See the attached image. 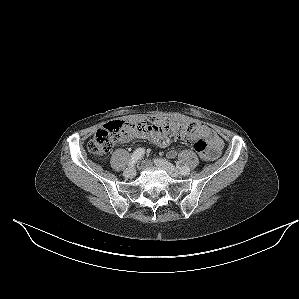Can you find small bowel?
<instances>
[{
	"label": "small bowel",
	"mask_w": 299,
	"mask_h": 299,
	"mask_svg": "<svg viewBox=\"0 0 299 299\" xmlns=\"http://www.w3.org/2000/svg\"><path fill=\"white\" fill-rule=\"evenodd\" d=\"M133 137L149 139L161 147L168 145V139L166 138L165 133L156 127L146 130L131 128L125 134L121 142H127ZM199 138L207 141L209 160L216 159L223 147V141L220 136L204 124H195V129L190 135L189 140L194 141ZM167 156L169 158H174L176 156V152L171 150L167 153Z\"/></svg>",
	"instance_id": "small-bowel-1"
}]
</instances>
